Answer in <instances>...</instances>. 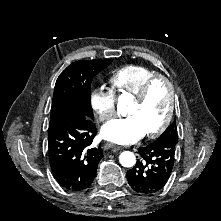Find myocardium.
I'll use <instances>...</instances> for the list:
<instances>
[{"instance_id": "myocardium-1", "label": "myocardium", "mask_w": 221, "mask_h": 221, "mask_svg": "<svg viewBox=\"0 0 221 221\" xmlns=\"http://www.w3.org/2000/svg\"><path fill=\"white\" fill-rule=\"evenodd\" d=\"M158 82H163L167 86V89L169 92V105H168L167 114L163 122L155 130L146 133L145 136L147 138H156L160 136L170 125L172 118H173V114H174V108H175L174 86L172 82L170 81V79L164 75L157 74L147 79L144 82L141 89L139 90V92L134 96V102L137 105H141L142 103H144L148 97L150 90Z\"/></svg>"}]
</instances>
